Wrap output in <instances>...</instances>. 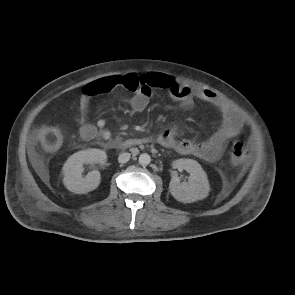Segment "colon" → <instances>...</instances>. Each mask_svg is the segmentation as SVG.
I'll list each match as a JSON object with an SVG mask.
<instances>
[{
    "mask_svg": "<svg viewBox=\"0 0 295 295\" xmlns=\"http://www.w3.org/2000/svg\"><path fill=\"white\" fill-rule=\"evenodd\" d=\"M129 89H136L139 86V80L134 75H128L124 79ZM37 138L40 144L48 151H54L62 145L63 136L59 129L55 127L42 128ZM230 160L234 165L245 163L250 157V150L243 143L235 141L230 145Z\"/></svg>",
    "mask_w": 295,
    "mask_h": 295,
    "instance_id": "5ec220e1",
    "label": "colon"
}]
</instances>
